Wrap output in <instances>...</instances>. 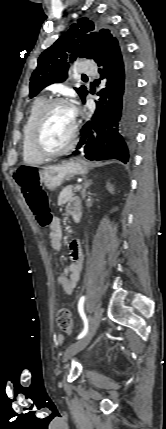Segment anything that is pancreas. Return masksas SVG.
<instances>
[{"mask_svg": "<svg viewBox=\"0 0 166 429\" xmlns=\"http://www.w3.org/2000/svg\"><path fill=\"white\" fill-rule=\"evenodd\" d=\"M74 189L72 186H67L62 190L58 197V206H63L72 199Z\"/></svg>", "mask_w": 166, "mask_h": 429, "instance_id": "obj_1", "label": "pancreas"}]
</instances>
